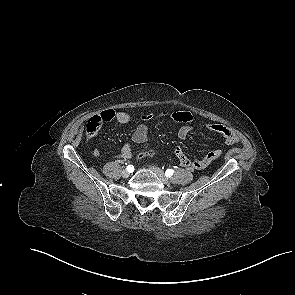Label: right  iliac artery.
<instances>
[{"label":"right iliac artery","mask_w":295,"mask_h":295,"mask_svg":"<svg viewBox=\"0 0 295 295\" xmlns=\"http://www.w3.org/2000/svg\"><path fill=\"white\" fill-rule=\"evenodd\" d=\"M126 169H127L128 172L131 173V172L134 171V166L133 165H128Z\"/></svg>","instance_id":"1"}]
</instances>
